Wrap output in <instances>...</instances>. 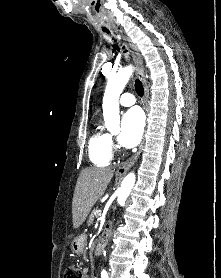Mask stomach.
Masks as SVG:
<instances>
[{
  "instance_id": "0dacf381",
  "label": "stomach",
  "mask_w": 221,
  "mask_h": 278,
  "mask_svg": "<svg viewBox=\"0 0 221 278\" xmlns=\"http://www.w3.org/2000/svg\"><path fill=\"white\" fill-rule=\"evenodd\" d=\"M87 242V236L85 234L79 235L73 239L70 245V249L73 254L80 255L84 252Z\"/></svg>"
}]
</instances>
